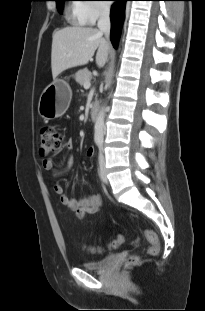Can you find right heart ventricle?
I'll return each instance as SVG.
<instances>
[{"label": "right heart ventricle", "instance_id": "e07e8e85", "mask_svg": "<svg viewBox=\"0 0 205 311\" xmlns=\"http://www.w3.org/2000/svg\"><path fill=\"white\" fill-rule=\"evenodd\" d=\"M80 4H73L72 11L70 14V20L75 25H84L86 24V21L83 17L82 12L80 11Z\"/></svg>", "mask_w": 205, "mask_h": 311}]
</instances>
